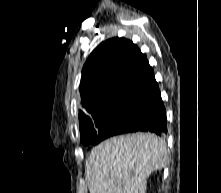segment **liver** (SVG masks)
<instances>
[{"label": "liver", "instance_id": "obj_1", "mask_svg": "<svg viewBox=\"0 0 221 193\" xmlns=\"http://www.w3.org/2000/svg\"><path fill=\"white\" fill-rule=\"evenodd\" d=\"M167 161L163 139L150 133L112 137L86 161L90 193H146L147 178Z\"/></svg>", "mask_w": 221, "mask_h": 193}]
</instances>
